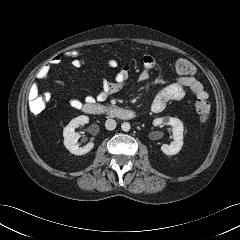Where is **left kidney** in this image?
<instances>
[{
	"label": "left kidney",
	"instance_id": "1",
	"mask_svg": "<svg viewBox=\"0 0 240 240\" xmlns=\"http://www.w3.org/2000/svg\"><path fill=\"white\" fill-rule=\"evenodd\" d=\"M153 124L155 126L160 124H166V125H171L173 127L172 132H173L174 141L170 145L163 144L161 146V151L166 155L177 154L183 146L184 127L182 122L178 118L162 117V118H156L153 121Z\"/></svg>",
	"mask_w": 240,
	"mask_h": 240
}]
</instances>
